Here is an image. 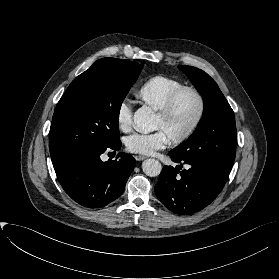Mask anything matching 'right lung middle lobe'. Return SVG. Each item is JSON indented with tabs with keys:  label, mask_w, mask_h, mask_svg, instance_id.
<instances>
[{
	"label": "right lung middle lobe",
	"mask_w": 279,
	"mask_h": 279,
	"mask_svg": "<svg viewBox=\"0 0 279 279\" xmlns=\"http://www.w3.org/2000/svg\"><path fill=\"white\" fill-rule=\"evenodd\" d=\"M142 67L125 59L103 58L72 81L52 118V160L95 151L119 140L120 108Z\"/></svg>",
	"instance_id": "obj_1"
}]
</instances>
